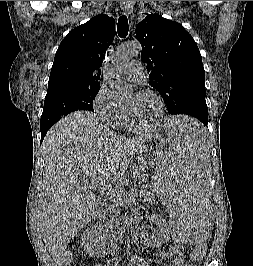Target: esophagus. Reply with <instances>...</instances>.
<instances>
[{"instance_id":"obj_1","label":"esophagus","mask_w":253,"mask_h":266,"mask_svg":"<svg viewBox=\"0 0 253 266\" xmlns=\"http://www.w3.org/2000/svg\"><path fill=\"white\" fill-rule=\"evenodd\" d=\"M121 8L128 15H131V13L133 11V5H132L131 1H122Z\"/></svg>"}]
</instances>
